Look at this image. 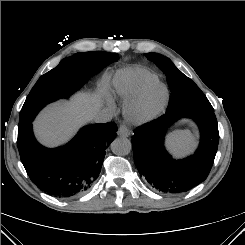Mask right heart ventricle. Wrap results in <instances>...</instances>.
<instances>
[{
  "label": "right heart ventricle",
  "instance_id": "right-heart-ventricle-1",
  "mask_svg": "<svg viewBox=\"0 0 245 245\" xmlns=\"http://www.w3.org/2000/svg\"><path fill=\"white\" fill-rule=\"evenodd\" d=\"M157 80V75L143 67L126 68L118 72L115 93L125 103L135 98L149 82Z\"/></svg>",
  "mask_w": 245,
  "mask_h": 245
}]
</instances>
